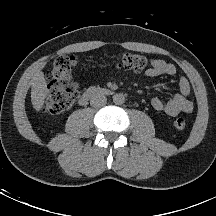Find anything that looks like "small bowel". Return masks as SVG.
<instances>
[{
	"instance_id": "1",
	"label": "small bowel",
	"mask_w": 216,
	"mask_h": 216,
	"mask_svg": "<svg viewBox=\"0 0 216 216\" xmlns=\"http://www.w3.org/2000/svg\"><path fill=\"white\" fill-rule=\"evenodd\" d=\"M177 69L174 64L162 59H154L153 65L146 70L145 74L149 77L174 76ZM191 92V86L186 77L181 76L178 79V93L164 102L162 99L155 97L151 100V106L154 110L164 112L170 116H176L181 113H191L193 111V102L188 98Z\"/></svg>"
}]
</instances>
